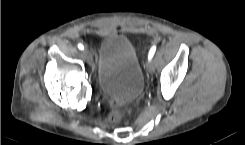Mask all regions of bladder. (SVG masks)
Returning a JSON list of instances; mask_svg holds the SVG:
<instances>
[{"label":"bladder","mask_w":245,"mask_h":145,"mask_svg":"<svg viewBox=\"0 0 245 145\" xmlns=\"http://www.w3.org/2000/svg\"><path fill=\"white\" fill-rule=\"evenodd\" d=\"M97 78L112 100H133L143 89V73L130 40L118 33L105 37L98 53Z\"/></svg>","instance_id":"bladder-1"}]
</instances>
